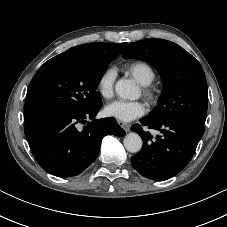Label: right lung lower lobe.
Wrapping results in <instances>:
<instances>
[{
	"label": "right lung lower lobe",
	"instance_id": "1",
	"mask_svg": "<svg viewBox=\"0 0 227 227\" xmlns=\"http://www.w3.org/2000/svg\"><path fill=\"white\" fill-rule=\"evenodd\" d=\"M101 106L99 102L86 110L52 111L25 121L28 144L45 171L75 176L96 159L103 137L125 134L114 118L95 119Z\"/></svg>",
	"mask_w": 227,
	"mask_h": 227
}]
</instances>
